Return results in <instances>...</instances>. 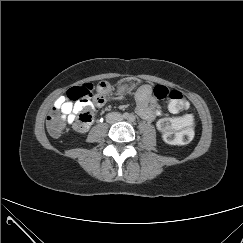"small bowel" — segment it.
I'll return each instance as SVG.
<instances>
[{
	"label": "small bowel",
	"instance_id": "small-bowel-1",
	"mask_svg": "<svg viewBox=\"0 0 243 243\" xmlns=\"http://www.w3.org/2000/svg\"><path fill=\"white\" fill-rule=\"evenodd\" d=\"M123 89L122 87L120 90ZM105 95L97 93L93 102L77 101L74 103L69 101L65 96H61L55 101L54 107L61 112L63 120L71 124L75 122L77 114L85 110L93 112L96 107H102L105 104ZM136 111L142 119L147 121H153L157 116L162 115L163 109L156 103L149 85H143L137 90ZM88 126L80 131H85Z\"/></svg>",
	"mask_w": 243,
	"mask_h": 243
}]
</instances>
